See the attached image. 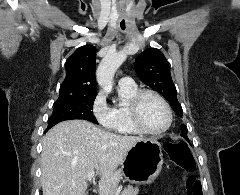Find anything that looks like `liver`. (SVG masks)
<instances>
[{"instance_id":"obj_1","label":"liver","mask_w":240,"mask_h":195,"mask_svg":"<svg viewBox=\"0 0 240 195\" xmlns=\"http://www.w3.org/2000/svg\"><path fill=\"white\" fill-rule=\"evenodd\" d=\"M141 139L100 129L86 119L60 121L47 131L42 143L43 195H84L87 179L93 175L100 177L99 193L111 195L122 175L118 165Z\"/></svg>"}]
</instances>
